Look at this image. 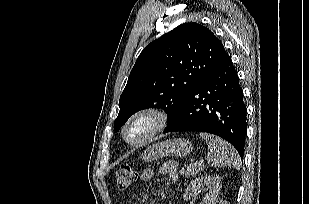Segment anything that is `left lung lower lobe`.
I'll list each match as a JSON object with an SVG mask.
<instances>
[{
  "label": "left lung lower lobe",
  "instance_id": "0a47b994",
  "mask_svg": "<svg viewBox=\"0 0 309 204\" xmlns=\"http://www.w3.org/2000/svg\"><path fill=\"white\" fill-rule=\"evenodd\" d=\"M195 131L217 135L244 155L247 131L246 106L231 58L211 69L190 97L168 121L164 133Z\"/></svg>",
  "mask_w": 309,
  "mask_h": 204
}]
</instances>
